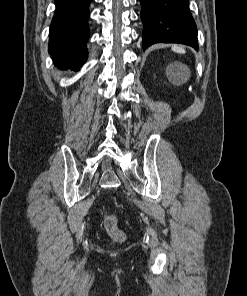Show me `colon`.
Returning <instances> with one entry per match:
<instances>
[{"label":"colon","mask_w":247,"mask_h":296,"mask_svg":"<svg viewBox=\"0 0 247 296\" xmlns=\"http://www.w3.org/2000/svg\"><path fill=\"white\" fill-rule=\"evenodd\" d=\"M104 227L109 235L116 239L123 237L122 231L118 227L117 219L114 215H106L104 218Z\"/></svg>","instance_id":"1"}]
</instances>
